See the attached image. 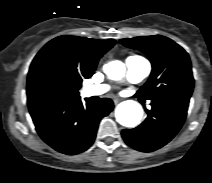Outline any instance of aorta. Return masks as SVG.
<instances>
[{
  "mask_svg": "<svg viewBox=\"0 0 212 183\" xmlns=\"http://www.w3.org/2000/svg\"><path fill=\"white\" fill-rule=\"evenodd\" d=\"M125 65L115 60L104 65L105 74L112 80H120L125 75ZM116 120L124 127L137 126L143 116L142 107L133 100H127L118 105L115 112Z\"/></svg>",
  "mask_w": 212,
  "mask_h": 183,
  "instance_id": "obj_1",
  "label": "aorta"
}]
</instances>
